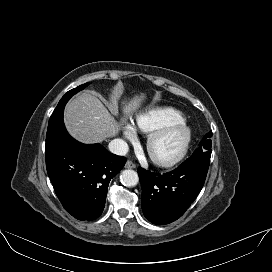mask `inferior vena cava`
Masks as SVG:
<instances>
[{
    "mask_svg": "<svg viewBox=\"0 0 272 272\" xmlns=\"http://www.w3.org/2000/svg\"><path fill=\"white\" fill-rule=\"evenodd\" d=\"M128 149V144L122 139H114L109 143V150L116 155L124 156Z\"/></svg>",
    "mask_w": 272,
    "mask_h": 272,
    "instance_id": "inferior-vena-cava-1",
    "label": "inferior vena cava"
}]
</instances>
